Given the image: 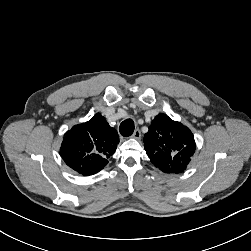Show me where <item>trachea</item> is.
<instances>
[{
    "label": "trachea",
    "instance_id": "3493384b",
    "mask_svg": "<svg viewBox=\"0 0 251 251\" xmlns=\"http://www.w3.org/2000/svg\"><path fill=\"white\" fill-rule=\"evenodd\" d=\"M134 122L132 119H126L124 120L119 127L120 134L124 137H128L132 135L134 132Z\"/></svg>",
    "mask_w": 251,
    "mask_h": 251
}]
</instances>
